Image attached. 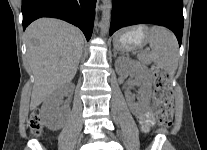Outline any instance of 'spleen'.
Listing matches in <instances>:
<instances>
[{
    "label": "spleen",
    "mask_w": 207,
    "mask_h": 150,
    "mask_svg": "<svg viewBox=\"0 0 207 150\" xmlns=\"http://www.w3.org/2000/svg\"><path fill=\"white\" fill-rule=\"evenodd\" d=\"M151 52L149 60L155 62L169 73L178 67V42L175 35L167 28L153 26L148 33Z\"/></svg>",
    "instance_id": "obj_1"
}]
</instances>
